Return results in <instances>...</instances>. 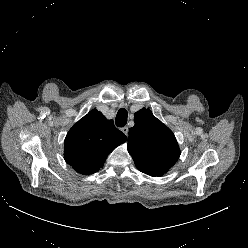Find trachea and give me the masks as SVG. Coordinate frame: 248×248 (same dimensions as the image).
Masks as SVG:
<instances>
[{
    "instance_id": "obj_1",
    "label": "trachea",
    "mask_w": 248,
    "mask_h": 248,
    "mask_svg": "<svg viewBox=\"0 0 248 248\" xmlns=\"http://www.w3.org/2000/svg\"><path fill=\"white\" fill-rule=\"evenodd\" d=\"M127 117H128L127 111L124 108L120 109L116 115V119H115L116 125L118 127H124L127 123Z\"/></svg>"
}]
</instances>
